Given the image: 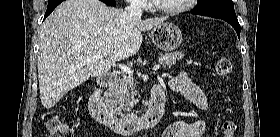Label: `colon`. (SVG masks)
Segmentation results:
<instances>
[{"mask_svg": "<svg viewBox=\"0 0 280 137\" xmlns=\"http://www.w3.org/2000/svg\"><path fill=\"white\" fill-rule=\"evenodd\" d=\"M215 72L218 76L229 79L232 73V63L226 56H221L215 64ZM46 129L49 137H73L69 126L56 115L51 116L46 122ZM236 123L232 118H227L223 122L224 137H234Z\"/></svg>", "mask_w": 280, "mask_h": 137, "instance_id": "obj_1", "label": "colon"}]
</instances>
